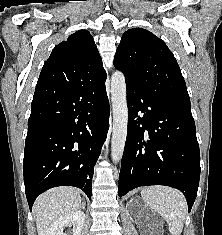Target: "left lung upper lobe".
Segmentation results:
<instances>
[{"instance_id": "obj_1", "label": "left lung upper lobe", "mask_w": 222, "mask_h": 235, "mask_svg": "<svg viewBox=\"0 0 222 235\" xmlns=\"http://www.w3.org/2000/svg\"><path fill=\"white\" fill-rule=\"evenodd\" d=\"M126 82L191 108L184 78L164 41L143 28L124 32L114 57Z\"/></svg>"}]
</instances>
